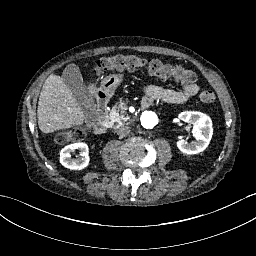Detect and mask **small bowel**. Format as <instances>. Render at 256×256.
<instances>
[{"label": "small bowel", "instance_id": "1", "mask_svg": "<svg viewBox=\"0 0 256 256\" xmlns=\"http://www.w3.org/2000/svg\"><path fill=\"white\" fill-rule=\"evenodd\" d=\"M199 91V87L194 82L182 83L179 90L165 88L157 85H145L143 92L145 93V103L153 100H161L166 103L182 104L194 98Z\"/></svg>", "mask_w": 256, "mask_h": 256}]
</instances>
